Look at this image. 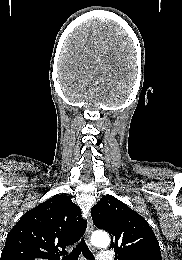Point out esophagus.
I'll use <instances>...</instances> for the list:
<instances>
[{
  "label": "esophagus",
  "mask_w": 182,
  "mask_h": 260,
  "mask_svg": "<svg viewBox=\"0 0 182 260\" xmlns=\"http://www.w3.org/2000/svg\"><path fill=\"white\" fill-rule=\"evenodd\" d=\"M92 231H93V222H92L91 218H89L88 223H87V228L85 231V238H86L87 242H89V240H90Z\"/></svg>",
  "instance_id": "1"
}]
</instances>
